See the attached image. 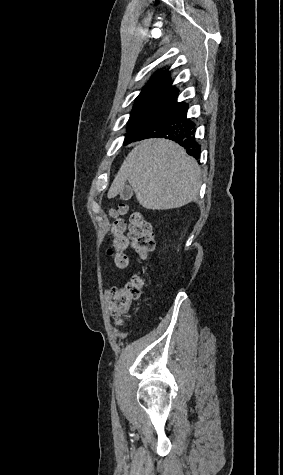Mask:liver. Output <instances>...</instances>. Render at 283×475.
<instances>
[{
    "label": "liver",
    "mask_w": 283,
    "mask_h": 475,
    "mask_svg": "<svg viewBox=\"0 0 283 475\" xmlns=\"http://www.w3.org/2000/svg\"><path fill=\"white\" fill-rule=\"evenodd\" d=\"M200 174L196 160L175 142L143 140L125 158L107 198H115L128 180L146 210L181 208L197 198Z\"/></svg>",
    "instance_id": "1"
}]
</instances>
